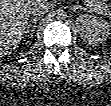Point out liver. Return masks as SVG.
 Instances as JSON below:
<instances>
[{
    "mask_svg": "<svg viewBox=\"0 0 111 106\" xmlns=\"http://www.w3.org/2000/svg\"><path fill=\"white\" fill-rule=\"evenodd\" d=\"M30 0L0 1V54L7 55L15 50L22 40L28 23Z\"/></svg>",
    "mask_w": 111,
    "mask_h": 106,
    "instance_id": "1",
    "label": "liver"
}]
</instances>
